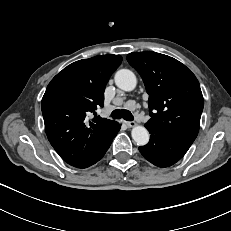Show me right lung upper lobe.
I'll return each instance as SVG.
<instances>
[{"label":"right lung upper lobe","mask_w":231,"mask_h":231,"mask_svg":"<svg viewBox=\"0 0 231 231\" xmlns=\"http://www.w3.org/2000/svg\"><path fill=\"white\" fill-rule=\"evenodd\" d=\"M122 62L120 55L76 61L49 83L42 98L47 137L68 164L83 168L112 137L116 121L88 115L103 106L105 86Z\"/></svg>","instance_id":"right-lung-upper-lobe-1"}]
</instances>
